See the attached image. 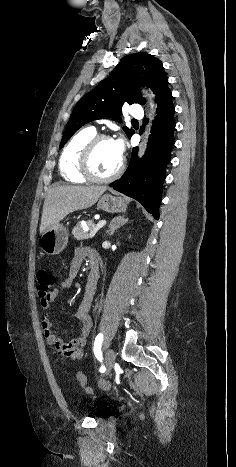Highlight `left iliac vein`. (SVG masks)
I'll use <instances>...</instances> for the list:
<instances>
[{
	"label": "left iliac vein",
	"mask_w": 236,
	"mask_h": 467,
	"mask_svg": "<svg viewBox=\"0 0 236 467\" xmlns=\"http://www.w3.org/2000/svg\"><path fill=\"white\" fill-rule=\"evenodd\" d=\"M114 362H115V352L112 350V349H108L105 353V365H106V374H108L113 366H114Z\"/></svg>",
	"instance_id": "left-iliac-vein-1"
}]
</instances>
